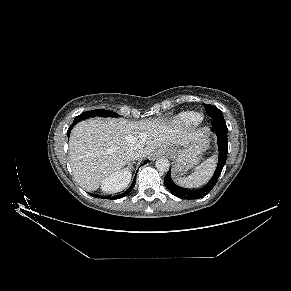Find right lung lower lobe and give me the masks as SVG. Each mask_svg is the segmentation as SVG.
Returning <instances> with one entry per match:
<instances>
[{"label":"right lung lower lobe","mask_w":291,"mask_h":291,"mask_svg":"<svg viewBox=\"0 0 291 291\" xmlns=\"http://www.w3.org/2000/svg\"><path fill=\"white\" fill-rule=\"evenodd\" d=\"M76 123H78V122L74 121L73 124H72V125L70 126V128L68 129V131H67V135H68V137H69V135H70V132H71L72 128L75 126ZM135 183H136V176L134 177L131 186H130V187H129L125 192H123L122 194H119V195H117V196L111 197V199H119V198H123L124 196H126L127 194H129V193L132 191V189H133Z\"/></svg>","instance_id":"right-lung-lower-lobe-1"}]
</instances>
